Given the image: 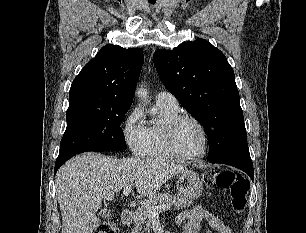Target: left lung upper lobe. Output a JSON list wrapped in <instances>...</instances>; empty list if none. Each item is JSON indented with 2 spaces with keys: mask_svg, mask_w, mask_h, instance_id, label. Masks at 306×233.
Listing matches in <instances>:
<instances>
[{
  "mask_svg": "<svg viewBox=\"0 0 306 233\" xmlns=\"http://www.w3.org/2000/svg\"><path fill=\"white\" fill-rule=\"evenodd\" d=\"M153 60L168 91L203 125L208 159L249 151L234 71L219 49L197 39L159 50Z\"/></svg>",
  "mask_w": 306,
  "mask_h": 233,
  "instance_id": "obj_1",
  "label": "left lung upper lobe"
}]
</instances>
